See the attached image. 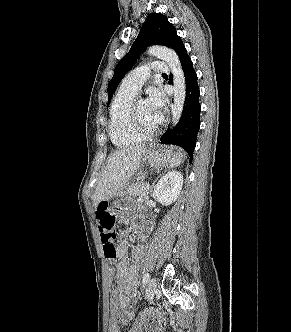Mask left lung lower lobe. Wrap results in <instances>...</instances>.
I'll return each instance as SVG.
<instances>
[{
  "label": "left lung lower lobe",
  "mask_w": 291,
  "mask_h": 332,
  "mask_svg": "<svg viewBox=\"0 0 291 332\" xmlns=\"http://www.w3.org/2000/svg\"><path fill=\"white\" fill-rule=\"evenodd\" d=\"M181 67L185 76L186 97L183 112L178 124L167 130L160 138L165 144H175L182 147L189 155L191 161L196 145V137L200 129L199 86L193 63L185 47L179 55ZM172 84V77L169 81Z\"/></svg>",
  "instance_id": "0a47b994"
}]
</instances>
